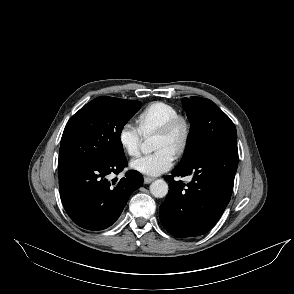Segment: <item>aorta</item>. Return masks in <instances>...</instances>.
Returning <instances> with one entry per match:
<instances>
[{
	"label": "aorta",
	"instance_id": "762f6f07",
	"mask_svg": "<svg viewBox=\"0 0 294 294\" xmlns=\"http://www.w3.org/2000/svg\"><path fill=\"white\" fill-rule=\"evenodd\" d=\"M155 141L156 140L154 137L146 138L141 144L142 151L144 153L153 152L156 149ZM168 190H169L168 184L162 179L155 180L150 185L151 194L157 198L165 197L168 194Z\"/></svg>",
	"mask_w": 294,
	"mask_h": 294
}]
</instances>
